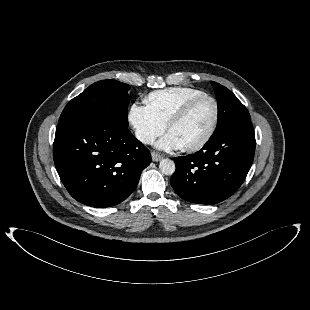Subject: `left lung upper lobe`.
Here are the masks:
<instances>
[{
  "mask_svg": "<svg viewBox=\"0 0 310 310\" xmlns=\"http://www.w3.org/2000/svg\"><path fill=\"white\" fill-rule=\"evenodd\" d=\"M211 84L218 103V124L210 139L218 138L246 122H251L248 110L230 90L213 81Z\"/></svg>",
  "mask_w": 310,
  "mask_h": 310,
  "instance_id": "left-lung-upper-lobe-1",
  "label": "left lung upper lobe"
}]
</instances>
